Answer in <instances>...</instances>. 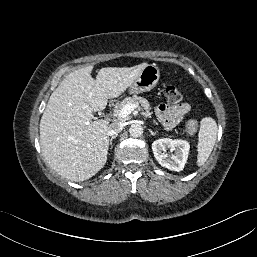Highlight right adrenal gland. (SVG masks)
<instances>
[{
  "label": "right adrenal gland",
  "instance_id": "2a0ac1e0",
  "mask_svg": "<svg viewBox=\"0 0 257 257\" xmlns=\"http://www.w3.org/2000/svg\"><path fill=\"white\" fill-rule=\"evenodd\" d=\"M116 137H117V135H114V136L111 137V139H110V141H109V144H110V145L112 144L113 139H115Z\"/></svg>",
  "mask_w": 257,
  "mask_h": 257
}]
</instances>
